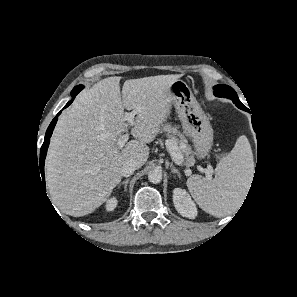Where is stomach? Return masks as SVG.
Listing matches in <instances>:
<instances>
[{"label": "stomach", "mask_w": 297, "mask_h": 297, "mask_svg": "<svg viewBox=\"0 0 297 297\" xmlns=\"http://www.w3.org/2000/svg\"><path fill=\"white\" fill-rule=\"evenodd\" d=\"M169 92L184 133L191 138L195 155L199 159L206 157L213 144V129L208 116L186 82L174 81Z\"/></svg>", "instance_id": "1"}]
</instances>
